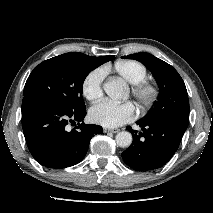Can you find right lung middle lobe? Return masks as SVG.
I'll return each mask as SVG.
<instances>
[{"label": "right lung middle lobe", "instance_id": "dd1d6c3e", "mask_svg": "<svg viewBox=\"0 0 213 213\" xmlns=\"http://www.w3.org/2000/svg\"><path fill=\"white\" fill-rule=\"evenodd\" d=\"M96 65L76 52L45 60L29 75L23 96L38 95L70 112L86 109L83 82Z\"/></svg>", "mask_w": 213, "mask_h": 213}]
</instances>
